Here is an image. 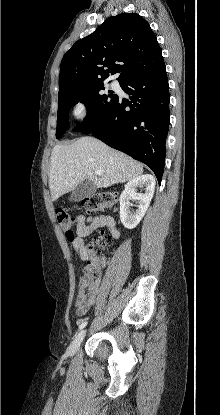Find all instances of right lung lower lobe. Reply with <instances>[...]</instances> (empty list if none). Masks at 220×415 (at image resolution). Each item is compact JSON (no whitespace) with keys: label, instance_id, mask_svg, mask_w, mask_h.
<instances>
[{"label":"right lung lower lobe","instance_id":"1","mask_svg":"<svg viewBox=\"0 0 220 415\" xmlns=\"http://www.w3.org/2000/svg\"><path fill=\"white\" fill-rule=\"evenodd\" d=\"M131 101L116 97L106 120L91 133L148 165L161 183L169 127V86L164 61L120 83ZM129 107L130 109H126Z\"/></svg>","mask_w":220,"mask_h":415}]
</instances>
